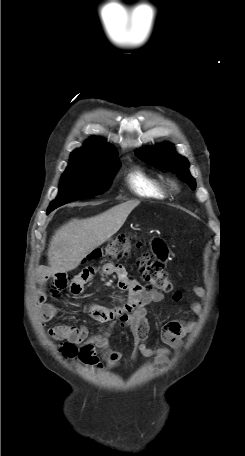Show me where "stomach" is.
<instances>
[{"label":"stomach","mask_w":245,"mask_h":456,"mask_svg":"<svg viewBox=\"0 0 245 456\" xmlns=\"http://www.w3.org/2000/svg\"><path fill=\"white\" fill-rule=\"evenodd\" d=\"M152 252L160 261H166L169 256L167 245L161 239H154L151 243Z\"/></svg>","instance_id":"0dacf381"}]
</instances>
